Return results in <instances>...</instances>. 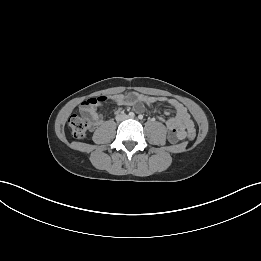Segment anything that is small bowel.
<instances>
[{
    "instance_id": "1",
    "label": "small bowel",
    "mask_w": 261,
    "mask_h": 261,
    "mask_svg": "<svg viewBox=\"0 0 261 261\" xmlns=\"http://www.w3.org/2000/svg\"><path fill=\"white\" fill-rule=\"evenodd\" d=\"M102 97L103 99L101 101H97V98H91L83 102L80 106V112L90 115L95 125H100L104 120L103 113L99 111V108L106 102H111L119 106H131L137 112H142L145 105L159 101L167 104L173 111V115L170 118L163 120L169 130L170 141L176 142L182 140L188 135L190 129H194L193 122L186 107L175 99L153 97L135 92Z\"/></svg>"
}]
</instances>
